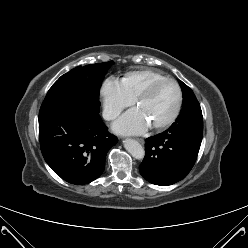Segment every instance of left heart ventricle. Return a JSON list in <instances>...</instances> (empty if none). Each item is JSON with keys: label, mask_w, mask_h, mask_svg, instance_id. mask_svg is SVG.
<instances>
[{"label": "left heart ventricle", "mask_w": 248, "mask_h": 248, "mask_svg": "<svg viewBox=\"0 0 248 248\" xmlns=\"http://www.w3.org/2000/svg\"><path fill=\"white\" fill-rule=\"evenodd\" d=\"M178 92L171 82H163L155 87L151 95L138 104L151 124L167 119L174 111Z\"/></svg>", "instance_id": "b2bd125f"}]
</instances>
